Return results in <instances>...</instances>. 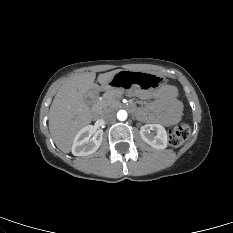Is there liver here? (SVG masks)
Returning a JSON list of instances; mask_svg holds the SVG:
<instances>
[{"instance_id":"obj_1","label":"liver","mask_w":233,"mask_h":233,"mask_svg":"<svg viewBox=\"0 0 233 233\" xmlns=\"http://www.w3.org/2000/svg\"><path fill=\"white\" fill-rule=\"evenodd\" d=\"M120 69L100 74L97 77L102 86H107ZM96 74L86 72L68 79L55 95L49 112V131L56 146L69 153L78 131L91 123V110L85 96L97 88Z\"/></svg>"}]
</instances>
